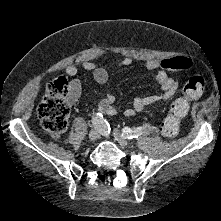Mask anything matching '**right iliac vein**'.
Wrapping results in <instances>:
<instances>
[{
    "label": "right iliac vein",
    "mask_w": 221,
    "mask_h": 221,
    "mask_svg": "<svg viewBox=\"0 0 221 221\" xmlns=\"http://www.w3.org/2000/svg\"><path fill=\"white\" fill-rule=\"evenodd\" d=\"M99 136H100V135H99L98 130L93 129V130H91V131L89 132L88 138H89L90 141H95V140H97V139L99 138Z\"/></svg>",
    "instance_id": "obj_1"
}]
</instances>
